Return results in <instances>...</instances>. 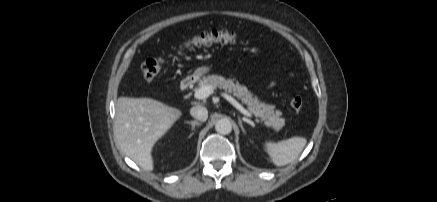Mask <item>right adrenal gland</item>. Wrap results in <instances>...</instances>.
<instances>
[{"instance_id":"right-adrenal-gland-1","label":"right adrenal gland","mask_w":437,"mask_h":202,"mask_svg":"<svg viewBox=\"0 0 437 202\" xmlns=\"http://www.w3.org/2000/svg\"><path fill=\"white\" fill-rule=\"evenodd\" d=\"M185 123L190 124L192 126V131L195 129L196 125H200L198 121H186Z\"/></svg>"}]
</instances>
